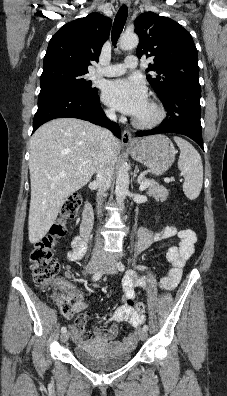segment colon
Segmentation results:
<instances>
[{
    "mask_svg": "<svg viewBox=\"0 0 227 396\" xmlns=\"http://www.w3.org/2000/svg\"><path fill=\"white\" fill-rule=\"evenodd\" d=\"M80 205L81 197L78 194L69 196L62 206L60 217L50 229L49 234L36 242L30 253L33 279L39 288L46 289L55 284L59 272V263L54 257L56 241L67 234L66 222L75 218ZM56 301L63 315L70 317L72 315L70 303L60 295H56ZM131 304L137 312H145L143 303L131 302Z\"/></svg>",
    "mask_w": 227,
    "mask_h": 396,
    "instance_id": "5ec220e1",
    "label": "colon"
}]
</instances>
